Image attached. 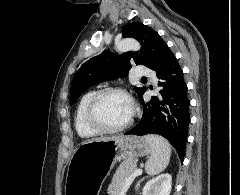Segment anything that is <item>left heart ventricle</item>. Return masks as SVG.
I'll return each mask as SVG.
<instances>
[{
  "label": "left heart ventricle",
  "instance_id": "b2bd125f",
  "mask_svg": "<svg viewBox=\"0 0 240 195\" xmlns=\"http://www.w3.org/2000/svg\"><path fill=\"white\" fill-rule=\"evenodd\" d=\"M131 103L122 95L106 96L99 108L100 119L109 126H121L128 122L131 117Z\"/></svg>",
  "mask_w": 240,
  "mask_h": 195
}]
</instances>
